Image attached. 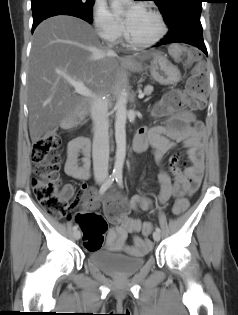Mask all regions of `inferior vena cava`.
Here are the masks:
<instances>
[{
    "label": "inferior vena cava",
    "instance_id": "1",
    "mask_svg": "<svg viewBox=\"0 0 238 315\" xmlns=\"http://www.w3.org/2000/svg\"><path fill=\"white\" fill-rule=\"evenodd\" d=\"M109 54H115L108 50ZM107 101L102 98V94L96 96L91 103V117L93 121V170L96 180L108 178V160H109V136L107 120Z\"/></svg>",
    "mask_w": 238,
    "mask_h": 315
}]
</instances>
